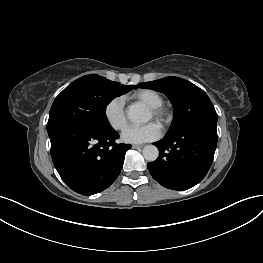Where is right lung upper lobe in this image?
I'll list each match as a JSON object with an SVG mask.
<instances>
[{"label":"right lung upper lobe","mask_w":263,"mask_h":263,"mask_svg":"<svg viewBox=\"0 0 263 263\" xmlns=\"http://www.w3.org/2000/svg\"><path fill=\"white\" fill-rule=\"evenodd\" d=\"M126 86H128V87H132V89L135 87L134 85H126Z\"/></svg>","instance_id":"obj_1"}]
</instances>
